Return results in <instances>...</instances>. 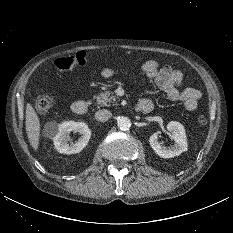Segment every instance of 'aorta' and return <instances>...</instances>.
Wrapping results in <instances>:
<instances>
[{
	"mask_svg": "<svg viewBox=\"0 0 233 233\" xmlns=\"http://www.w3.org/2000/svg\"><path fill=\"white\" fill-rule=\"evenodd\" d=\"M117 125L123 131L129 130L131 127V120L127 117H119Z\"/></svg>",
	"mask_w": 233,
	"mask_h": 233,
	"instance_id": "762f6f07",
	"label": "aorta"
}]
</instances>
